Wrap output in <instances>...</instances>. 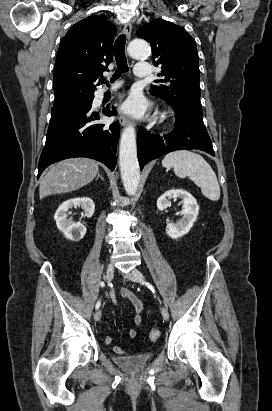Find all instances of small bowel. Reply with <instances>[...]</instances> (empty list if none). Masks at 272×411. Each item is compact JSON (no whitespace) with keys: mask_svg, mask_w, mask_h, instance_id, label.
I'll use <instances>...</instances> for the list:
<instances>
[{"mask_svg":"<svg viewBox=\"0 0 272 411\" xmlns=\"http://www.w3.org/2000/svg\"><path fill=\"white\" fill-rule=\"evenodd\" d=\"M119 297H121L123 299H127L129 302L132 303V305L134 306V310H135L133 321H134L135 325L139 326L142 323V313H143V310H144L143 301L139 297H137V295L128 288H122L119 291ZM111 298H112V302L116 306H118V300H117L114 292L111 294ZM127 336L130 339L135 338L136 331L134 329H129L127 331ZM106 339H107V341H106ZM106 339H105L106 343H108V344L111 343V340H112L111 337H106ZM113 350L117 354H124L126 352L125 349L120 345L115 346L113 348Z\"/></svg>","mask_w":272,"mask_h":411,"instance_id":"obj_1","label":"small bowel"}]
</instances>
